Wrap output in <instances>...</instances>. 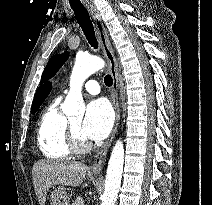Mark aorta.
Returning <instances> with one entry per match:
<instances>
[{
    "mask_svg": "<svg viewBox=\"0 0 212 205\" xmlns=\"http://www.w3.org/2000/svg\"><path fill=\"white\" fill-rule=\"evenodd\" d=\"M105 65L103 59L97 56H77L70 76V90L63 105V112L67 115L82 114L84 104L82 85L93 73ZM124 145L118 139L112 149L105 180V189L101 205H115L123 173Z\"/></svg>",
    "mask_w": 212,
    "mask_h": 205,
    "instance_id": "1",
    "label": "aorta"
}]
</instances>
